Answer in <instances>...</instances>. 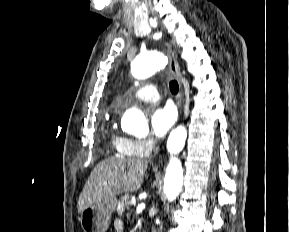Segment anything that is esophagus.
I'll use <instances>...</instances> for the list:
<instances>
[{
  "instance_id": "obj_1",
  "label": "esophagus",
  "mask_w": 289,
  "mask_h": 232,
  "mask_svg": "<svg viewBox=\"0 0 289 232\" xmlns=\"http://www.w3.org/2000/svg\"><path fill=\"white\" fill-rule=\"evenodd\" d=\"M167 52H168V56H169L170 70H171L173 76L178 81L179 86H180V91L182 92V77H181L180 68H179L177 59H176L174 53L172 52V50L168 49Z\"/></svg>"
}]
</instances>
